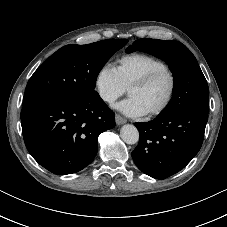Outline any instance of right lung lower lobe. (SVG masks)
Listing matches in <instances>:
<instances>
[{"mask_svg": "<svg viewBox=\"0 0 227 227\" xmlns=\"http://www.w3.org/2000/svg\"><path fill=\"white\" fill-rule=\"evenodd\" d=\"M20 117L27 150L58 175L76 173L90 164L99 134L115 126L114 113L99 95L38 99L24 104Z\"/></svg>", "mask_w": 227, "mask_h": 227, "instance_id": "1", "label": "right lung lower lobe"}]
</instances>
